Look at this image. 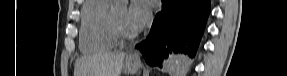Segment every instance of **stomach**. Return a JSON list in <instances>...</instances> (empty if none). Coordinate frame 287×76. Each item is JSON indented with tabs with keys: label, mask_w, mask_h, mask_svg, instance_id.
Masks as SVG:
<instances>
[{
	"label": "stomach",
	"mask_w": 287,
	"mask_h": 76,
	"mask_svg": "<svg viewBox=\"0 0 287 76\" xmlns=\"http://www.w3.org/2000/svg\"><path fill=\"white\" fill-rule=\"evenodd\" d=\"M140 66L141 63L137 59L127 56L123 65V71L128 75H133L138 71Z\"/></svg>",
	"instance_id": "obj_1"
}]
</instances>
